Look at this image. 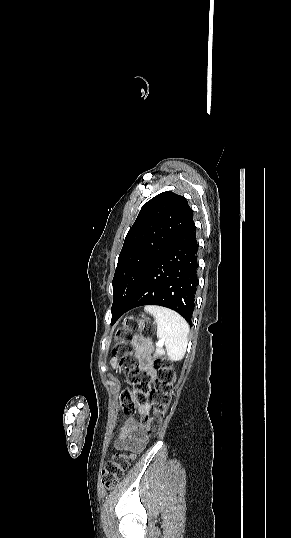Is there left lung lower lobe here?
Masks as SVG:
<instances>
[{
	"instance_id": "0a47b994",
	"label": "left lung lower lobe",
	"mask_w": 291,
	"mask_h": 538,
	"mask_svg": "<svg viewBox=\"0 0 291 538\" xmlns=\"http://www.w3.org/2000/svg\"><path fill=\"white\" fill-rule=\"evenodd\" d=\"M198 247L192 221L160 254L132 300L123 308L112 309L111 325L125 312L142 305L175 310L191 325L198 285Z\"/></svg>"
}]
</instances>
